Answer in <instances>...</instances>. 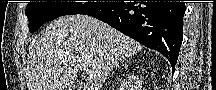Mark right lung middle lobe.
I'll use <instances>...</instances> for the list:
<instances>
[{"label": "right lung middle lobe", "mask_w": 216, "mask_h": 90, "mask_svg": "<svg viewBox=\"0 0 216 90\" xmlns=\"http://www.w3.org/2000/svg\"><path fill=\"white\" fill-rule=\"evenodd\" d=\"M105 4L104 2H29L26 15L29 20V31L32 33L48 21L60 16L81 14L82 12Z\"/></svg>", "instance_id": "right-lung-middle-lobe-1"}]
</instances>
